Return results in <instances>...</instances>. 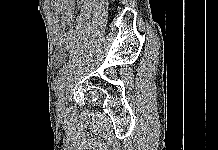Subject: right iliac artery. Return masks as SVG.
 Masks as SVG:
<instances>
[{"mask_svg":"<svg viewBox=\"0 0 218 150\" xmlns=\"http://www.w3.org/2000/svg\"><path fill=\"white\" fill-rule=\"evenodd\" d=\"M69 65H65L61 71L60 77L57 83V91L60 92L65 85V78L68 73Z\"/></svg>","mask_w":218,"mask_h":150,"instance_id":"right-iliac-artery-1","label":"right iliac artery"}]
</instances>
